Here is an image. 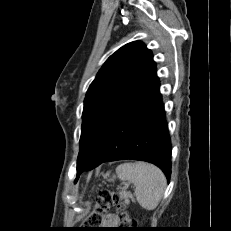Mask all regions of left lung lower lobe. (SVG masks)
Instances as JSON below:
<instances>
[{
	"mask_svg": "<svg viewBox=\"0 0 231 231\" xmlns=\"http://www.w3.org/2000/svg\"><path fill=\"white\" fill-rule=\"evenodd\" d=\"M159 85L155 67L108 124L85 164L77 168L76 180L84 170L123 159L153 163L169 180L171 142Z\"/></svg>",
	"mask_w": 231,
	"mask_h": 231,
	"instance_id": "1",
	"label": "left lung lower lobe"
}]
</instances>
